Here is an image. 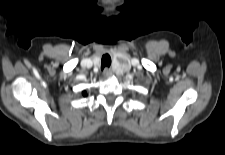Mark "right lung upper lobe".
I'll return each mask as SVG.
<instances>
[{"label":"right lung upper lobe","mask_w":225,"mask_h":155,"mask_svg":"<svg viewBox=\"0 0 225 155\" xmlns=\"http://www.w3.org/2000/svg\"><path fill=\"white\" fill-rule=\"evenodd\" d=\"M83 95L86 96V92L85 91L83 92Z\"/></svg>","instance_id":"cb5924a9"}]
</instances>
